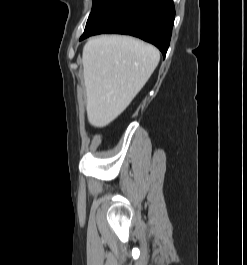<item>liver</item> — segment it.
<instances>
[{
	"label": "liver",
	"mask_w": 247,
	"mask_h": 265,
	"mask_svg": "<svg viewBox=\"0 0 247 265\" xmlns=\"http://www.w3.org/2000/svg\"><path fill=\"white\" fill-rule=\"evenodd\" d=\"M159 60L156 47L133 37L89 39L82 54L89 123L104 127L116 119L146 84Z\"/></svg>",
	"instance_id": "1"
}]
</instances>
